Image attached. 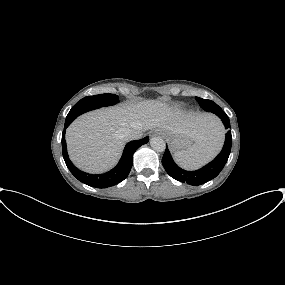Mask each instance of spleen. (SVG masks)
<instances>
[{
    "label": "spleen",
    "instance_id": "obj_1",
    "mask_svg": "<svg viewBox=\"0 0 285 285\" xmlns=\"http://www.w3.org/2000/svg\"><path fill=\"white\" fill-rule=\"evenodd\" d=\"M223 138L224 132L221 126L209 140L195 142L185 150L176 151L174 159L185 169H197L217 155L222 147Z\"/></svg>",
    "mask_w": 285,
    "mask_h": 285
}]
</instances>
